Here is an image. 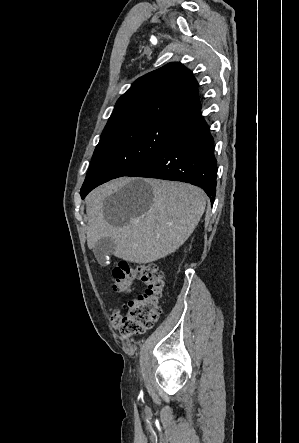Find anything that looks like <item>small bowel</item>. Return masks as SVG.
Segmentation results:
<instances>
[{"label": "small bowel", "mask_w": 299, "mask_h": 443, "mask_svg": "<svg viewBox=\"0 0 299 443\" xmlns=\"http://www.w3.org/2000/svg\"><path fill=\"white\" fill-rule=\"evenodd\" d=\"M121 320H122V316L120 313L115 311L111 314V323H112L113 327L118 328L121 324Z\"/></svg>", "instance_id": "1"}]
</instances>
